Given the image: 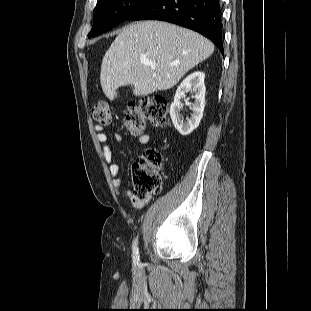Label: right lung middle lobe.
Masks as SVG:
<instances>
[{"label":"right lung middle lobe","mask_w":311,"mask_h":311,"mask_svg":"<svg viewBox=\"0 0 311 311\" xmlns=\"http://www.w3.org/2000/svg\"><path fill=\"white\" fill-rule=\"evenodd\" d=\"M154 0H98L93 10V27L88 38L102 34Z\"/></svg>","instance_id":"obj_1"}]
</instances>
